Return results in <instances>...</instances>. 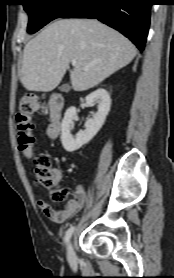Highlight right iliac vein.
Masks as SVG:
<instances>
[{"label":"right iliac vein","mask_w":174,"mask_h":278,"mask_svg":"<svg viewBox=\"0 0 174 278\" xmlns=\"http://www.w3.org/2000/svg\"><path fill=\"white\" fill-rule=\"evenodd\" d=\"M67 258L71 266H76L77 264V256L74 250L73 243L70 242L67 248Z\"/></svg>","instance_id":"1"}]
</instances>
